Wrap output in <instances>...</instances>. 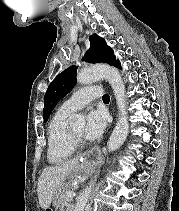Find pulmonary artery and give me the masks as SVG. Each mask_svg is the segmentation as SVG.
Instances as JSON below:
<instances>
[{
	"label": "pulmonary artery",
	"instance_id": "obj_1",
	"mask_svg": "<svg viewBox=\"0 0 179 211\" xmlns=\"http://www.w3.org/2000/svg\"><path fill=\"white\" fill-rule=\"evenodd\" d=\"M103 95L102 88L100 86H87L79 89L69 99L64 101L60 108L66 112L73 113L94 99L100 98Z\"/></svg>",
	"mask_w": 179,
	"mask_h": 211
}]
</instances>
